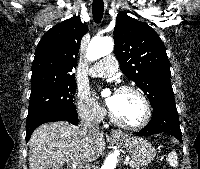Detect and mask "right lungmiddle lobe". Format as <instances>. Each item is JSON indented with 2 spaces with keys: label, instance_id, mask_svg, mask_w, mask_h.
Instances as JSON below:
<instances>
[{
  "label": "right lung middle lobe",
  "instance_id": "1",
  "mask_svg": "<svg viewBox=\"0 0 200 169\" xmlns=\"http://www.w3.org/2000/svg\"><path fill=\"white\" fill-rule=\"evenodd\" d=\"M76 92L75 80L61 83H44L31 88L28 114L40 111L69 112L76 110L73 96Z\"/></svg>",
  "mask_w": 200,
  "mask_h": 169
}]
</instances>
